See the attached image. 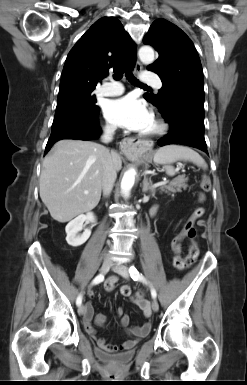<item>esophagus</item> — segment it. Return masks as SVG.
I'll list each match as a JSON object with an SVG mask.
<instances>
[{
  "mask_svg": "<svg viewBox=\"0 0 247 385\" xmlns=\"http://www.w3.org/2000/svg\"><path fill=\"white\" fill-rule=\"evenodd\" d=\"M142 70V65L139 61L136 62L134 71L135 73H140ZM141 149V144L139 140H135L132 138H125L121 142V150L126 154L130 155L136 150Z\"/></svg>",
  "mask_w": 247,
  "mask_h": 385,
  "instance_id": "34e87169",
  "label": "esophagus"
}]
</instances>
